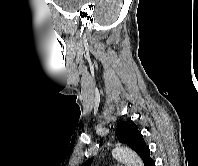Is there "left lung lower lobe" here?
I'll use <instances>...</instances> for the list:
<instances>
[{
    "label": "left lung lower lobe",
    "instance_id": "left-lung-lower-lobe-1",
    "mask_svg": "<svg viewBox=\"0 0 198 166\" xmlns=\"http://www.w3.org/2000/svg\"><path fill=\"white\" fill-rule=\"evenodd\" d=\"M144 165L145 166H155V161L150 157Z\"/></svg>",
    "mask_w": 198,
    "mask_h": 166
}]
</instances>
